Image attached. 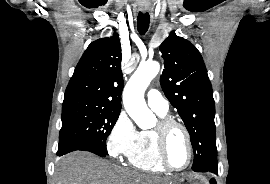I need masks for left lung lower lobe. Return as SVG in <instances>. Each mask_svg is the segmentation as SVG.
Here are the masks:
<instances>
[{
    "mask_svg": "<svg viewBox=\"0 0 270 184\" xmlns=\"http://www.w3.org/2000/svg\"><path fill=\"white\" fill-rule=\"evenodd\" d=\"M212 172V173H217V166H212V167H206L204 169H202L201 171L199 172Z\"/></svg>",
    "mask_w": 270,
    "mask_h": 184,
    "instance_id": "obj_1",
    "label": "left lung lower lobe"
}]
</instances>
